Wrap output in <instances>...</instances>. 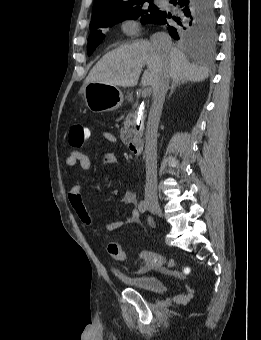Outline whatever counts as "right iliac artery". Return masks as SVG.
<instances>
[{"label":"right iliac artery","mask_w":261,"mask_h":340,"mask_svg":"<svg viewBox=\"0 0 261 340\" xmlns=\"http://www.w3.org/2000/svg\"><path fill=\"white\" fill-rule=\"evenodd\" d=\"M138 209L141 213H144L147 210V202L145 200L141 201L138 205Z\"/></svg>","instance_id":"82829eb1"}]
</instances>
